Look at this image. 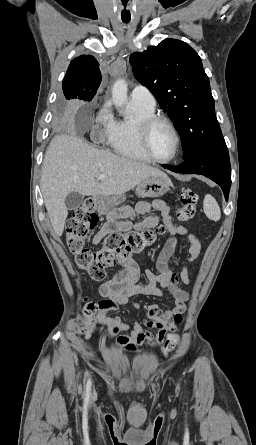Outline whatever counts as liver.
<instances>
[{"instance_id": "liver-1", "label": "liver", "mask_w": 256, "mask_h": 445, "mask_svg": "<svg viewBox=\"0 0 256 445\" xmlns=\"http://www.w3.org/2000/svg\"><path fill=\"white\" fill-rule=\"evenodd\" d=\"M104 174L106 179L99 182ZM161 170L144 163L99 150L73 134H58L50 142L42 164L41 191L57 237L64 231L71 192L83 196H122Z\"/></svg>"}]
</instances>
